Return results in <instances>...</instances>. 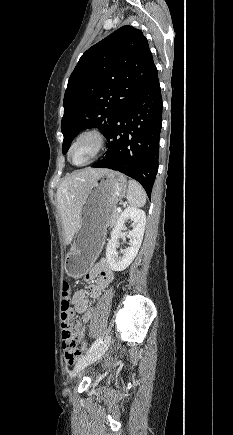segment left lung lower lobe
<instances>
[{"instance_id":"obj_1","label":"left lung lower lobe","mask_w":233,"mask_h":435,"mask_svg":"<svg viewBox=\"0 0 233 435\" xmlns=\"http://www.w3.org/2000/svg\"><path fill=\"white\" fill-rule=\"evenodd\" d=\"M162 98L157 69L114 120L106 138L107 151L92 167L109 168L137 180L151 196L158 169Z\"/></svg>"}]
</instances>
